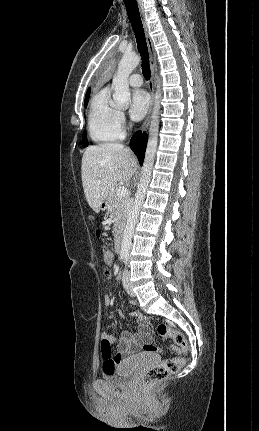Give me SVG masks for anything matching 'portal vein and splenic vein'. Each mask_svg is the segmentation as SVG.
Instances as JSON below:
<instances>
[{"mask_svg": "<svg viewBox=\"0 0 259 431\" xmlns=\"http://www.w3.org/2000/svg\"><path fill=\"white\" fill-rule=\"evenodd\" d=\"M127 195H128V190L126 187H124V186L118 187V189H117V196L118 197L123 198Z\"/></svg>", "mask_w": 259, "mask_h": 431, "instance_id": "obj_1", "label": "portal vein and splenic vein"}]
</instances>
